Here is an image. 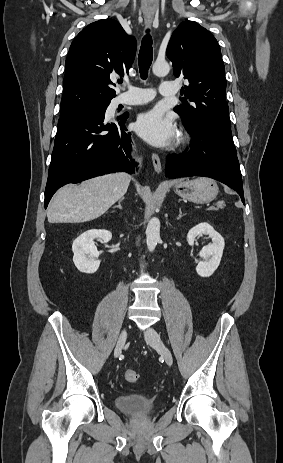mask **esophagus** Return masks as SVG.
<instances>
[{
	"label": "esophagus",
	"mask_w": 283,
	"mask_h": 463,
	"mask_svg": "<svg viewBox=\"0 0 283 463\" xmlns=\"http://www.w3.org/2000/svg\"><path fill=\"white\" fill-rule=\"evenodd\" d=\"M145 25L146 27H151L152 22H153V16L152 15H146L144 17ZM152 163L155 171L160 174L162 171V166H161V161L159 156L156 153L152 154Z\"/></svg>",
	"instance_id": "esophagus-1"
}]
</instances>
